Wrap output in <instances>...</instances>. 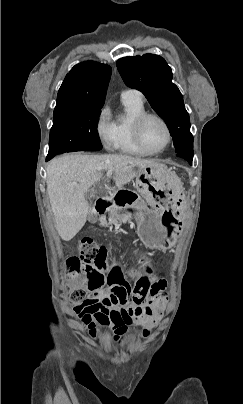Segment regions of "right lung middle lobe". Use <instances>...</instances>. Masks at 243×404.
<instances>
[{
    "label": "right lung middle lobe",
    "instance_id": "right-lung-middle-lobe-1",
    "mask_svg": "<svg viewBox=\"0 0 243 404\" xmlns=\"http://www.w3.org/2000/svg\"><path fill=\"white\" fill-rule=\"evenodd\" d=\"M101 107H65L54 110L46 161L73 151H97L102 144L97 131Z\"/></svg>",
    "mask_w": 243,
    "mask_h": 404
}]
</instances>
